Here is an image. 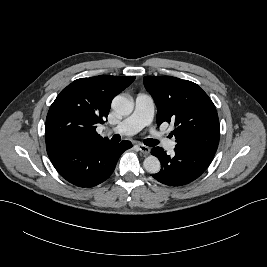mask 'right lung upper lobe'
<instances>
[{"mask_svg": "<svg viewBox=\"0 0 267 267\" xmlns=\"http://www.w3.org/2000/svg\"><path fill=\"white\" fill-rule=\"evenodd\" d=\"M134 76H95L73 81L52 103L46 118L47 149L70 148L109 141L96 132L107 118L112 99Z\"/></svg>", "mask_w": 267, "mask_h": 267, "instance_id": "obj_1", "label": "right lung upper lobe"}]
</instances>
